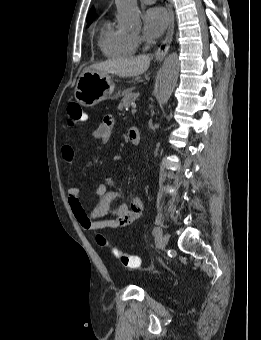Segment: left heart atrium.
<instances>
[{
	"instance_id": "obj_1",
	"label": "left heart atrium",
	"mask_w": 261,
	"mask_h": 340,
	"mask_svg": "<svg viewBox=\"0 0 261 340\" xmlns=\"http://www.w3.org/2000/svg\"><path fill=\"white\" fill-rule=\"evenodd\" d=\"M170 22V15L163 7H151L143 15L144 33L150 39H157Z\"/></svg>"
}]
</instances>
